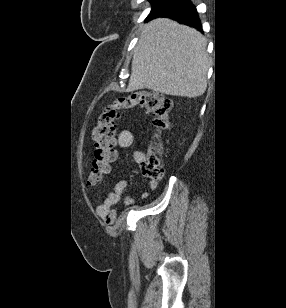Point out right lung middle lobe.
<instances>
[{"label": "right lung middle lobe", "instance_id": "right-lung-middle-lobe-1", "mask_svg": "<svg viewBox=\"0 0 286 308\" xmlns=\"http://www.w3.org/2000/svg\"><path fill=\"white\" fill-rule=\"evenodd\" d=\"M152 4V12L158 11L166 7L173 0H149Z\"/></svg>", "mask_w": 286, "mask_h": 308}]
</instances>
